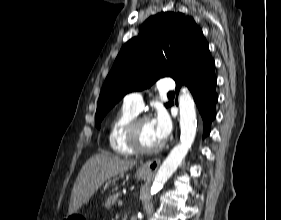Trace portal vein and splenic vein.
Here are the masks:
<instances>
[{
    "label": "portal vein and splenic vein",
    "mask_w": 281,
    "mask_h": 220,
    "mask_svg": "<svg viewBox=\"0 0 281 220\" xmlns=\"http://www.w3.org/2000/svg\"><path fill=\"white\" fill-rule=\"evenodd\" d=\"M122 205H123V201H122V200H119V201H118V206L121 207Z\"/></svg>",
    "instance_id": "obj_1"
}]
</instances>
